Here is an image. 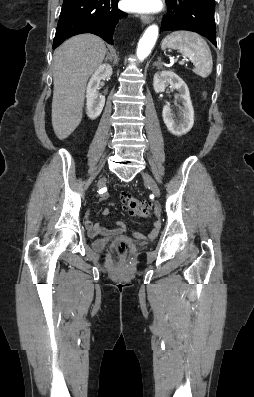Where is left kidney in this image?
<instances>
[{
	"instance_id": "left-kidney-1",
	"label": "left kidney",
	"mask_w": 254,
	"mask_h": 397,
	"mask_svg": "<svg viewBox=\"0 0 254 397\" xmlns=\"http://www.w3.org/2000/svg\"><path fill=\"white\" fill-rule=\"evenodd\" d=\"M170 84L179 92L182 106L179 108V119H175L169 104L163 106L162 116L168 130L175 136L187 134L194 124V109L186 83L174 72L161 71L154 75L153 87L156 93L165 91Z\"/></svg>"
}]
</instances>
